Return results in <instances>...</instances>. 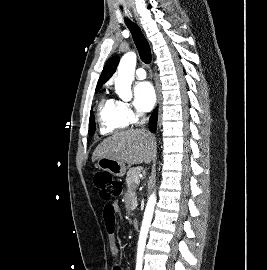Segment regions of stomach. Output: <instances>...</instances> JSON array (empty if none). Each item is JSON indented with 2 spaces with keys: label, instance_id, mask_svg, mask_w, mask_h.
<instances>
[{
  "label": "stomach",
  "instance_id": "0dacf381",
  "mask_svg": "<svg viewBox=\"0 0 267 270\" xmlns=\"http://www.w3.org/2000/svg\"><path fill=\"white\" fill-rule=\"evenodd\" d=\"M96 168L109 172L110 174L122 177L126 173V166L124 163L114 160L112 158L102 157L97 160Z\"/></svg>",
  "mask_w": 267,
  "mask_h": 270
}]
</instances>
